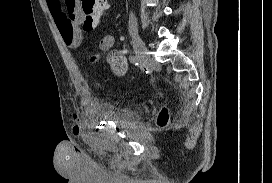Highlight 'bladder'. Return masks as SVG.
<instances>
[{"label": "bladder", "mask_w": 272, "mask_h": 183, "mask_svg": "<svg viewBox=\"0 0 272 183\" xmlns=\"http://www.w3.org/2000/svg\"><path fill=\"white\" fill-rule=\"evenodd\" d=\"M104 115L118 124L126 123L134 117V114L128 111L104 113Z\"/></svg>", "instance_id": "bladder-1"}]
</instances>
